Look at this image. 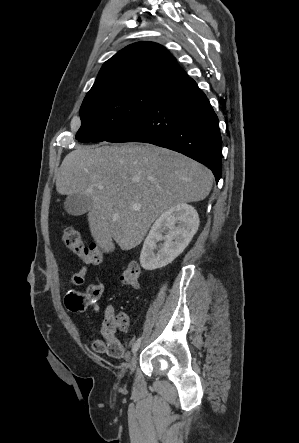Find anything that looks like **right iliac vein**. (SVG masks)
Instances as JSON below:
<instances>
[{"label": "right iliac vein", "mask_w": 299, "mask_h": 443, "mask_svg": "<svg viewBox=\"0 0 299 443\" xmlns=\"http://www.w3.org/2000/svg\"><path fill=\"white\" fill-rule=\"evenodd\" d=\"M137 361H138V355L137 353H135L130 361L129 367H130V372L132 373L137 365Z\"/></svg>", "instance_id": "1"}]
</instances>
